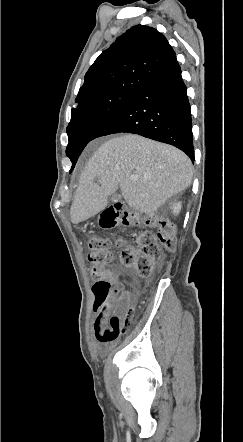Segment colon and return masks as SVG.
Segmentation results:
<instances>
[{"label":"colon","mask_w":243,"mask_h":442,"mask_svg":"<svg viewBox=\"0 0 243 442\" xmlns=\"http://www.w3.org/2000/svg\"><path fill=\"white\" fill-rule=\"evenodd\" d=\"M100 215L98 223L104 230H110L118 225L131 226L142 222L139 216L130 212L123 204L111 202ZM145 223L157 227L156 232L145 231L137 238L136 247L125 240H118L116 245L120 249L121 262L125 266L135 267L142 277L152 273L153 265L161 257L162 249L167 252L175 250L176 241L173 230L164 222L153 216H147ZM89 262L93 283L95 308L113 305L118 293L115 285V271L110 265V246L108 239L93 236L89 239ZM135 317V308L129 306L125 311L113 314L109 327L101 335L102 341H113L119 335L129 331Z\"/></svg>","instance_id":"obj_1"}]
</instances>
